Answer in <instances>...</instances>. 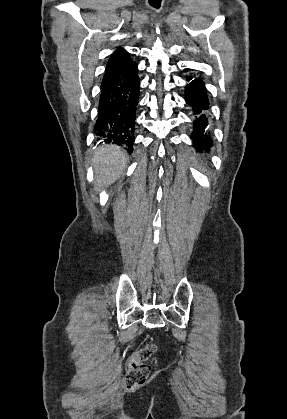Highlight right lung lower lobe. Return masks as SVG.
Listing matches in <instances>:
<instances>
[{
  "mask_svg": "<svg viewBox=\"0 0 287 419\" xmlns=\"http://www.w3.org/2000/svg\"><path fill=\"white\" fill-rule=\"evenodd\" d=\"M137 65L129 72L101 84L98 118L95 123L97 141L115 143L129 153L133 151L136 106L140 80Z\"/></svg>",
  "mask_w": 287,
  "mask_h": 419,
  "instance_id": "obj_1",
  "label": "right lung lower lobe"
}]
</instances>
